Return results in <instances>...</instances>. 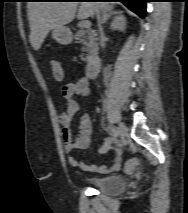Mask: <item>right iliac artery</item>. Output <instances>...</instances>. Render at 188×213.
<instances>
[{
	"label": "right iliac artery",
	"mask_w": 188,
	"mask_h": 213,
	"mask_svg": "<svg viewBox=\"0 0 188 213\" xmlns=\"http://www.w3.org/2000/svg\"><path fill=\"white\" fill-rule=\"evenodd\" d=\"M109 130L111 132V134L113 135V137L117 138L119 133H118V129L116 127H109Z\"/></svg>",
	"instance_id": "1"
}]
</instances>
